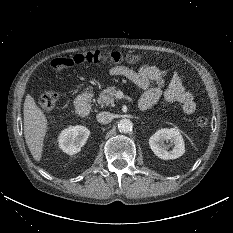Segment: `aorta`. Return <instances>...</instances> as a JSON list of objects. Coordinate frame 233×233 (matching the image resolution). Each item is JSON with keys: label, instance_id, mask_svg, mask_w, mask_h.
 I'll use <instances>...</instances> for the list:
<instances>
[{"label": "aorta", "instance_id": "obj_1", "mask_svg": "<svg viewBox=\"0 0 233 233\" xmlns=\"http://www.w3.org/2000/svg\"><path fill=\"white\" fill-rule=\"evenodd\" d=\"M133 123L129 119H122L118 122V129L122 133H128L132 130Z\"/></svg>", "mask_w": 233, "mask_h": 233}]
</instances>
